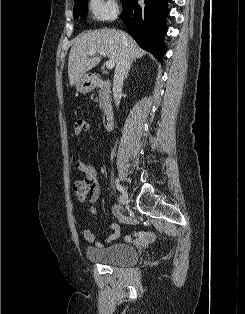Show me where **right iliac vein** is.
Masks as SVG:
<instances>
[{
  "label": "right iliac vein",
  "instance_id": "63e3f726",
  "mask_svg": "<svg viewBox=\"0 0 245 314\" xmlns=\"http://www.w3.org/2000/svg\"><path fill=\"white\" fill-rule=\"evenodd\" d=\"M123 188V191H122V197H121V200H122V203L124 205H127L128 202H129V197H128V193L125 189V187H122Z\"/></svg>",
  "mask_w": 245,
  "mask_h": 314
}]
</instances>
